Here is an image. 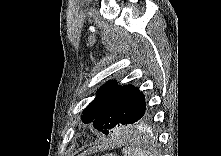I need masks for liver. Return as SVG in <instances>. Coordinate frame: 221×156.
<instances>
[{
  "label": "liver",
  "instance_id": "1",
  "mask_svg": "<svg viewBox=\"0 0 221 156\" xmlns=\"http://www.w3.org/2000/svg\"><path fill=\"white\" fill-rule=\"evenodd\" d=\"M99 148H93L89 150V153L93 152L94 150H98Z\"/></svg>",
  "mask_w": 221,
  "mask_h": 156
}]
</instances>
